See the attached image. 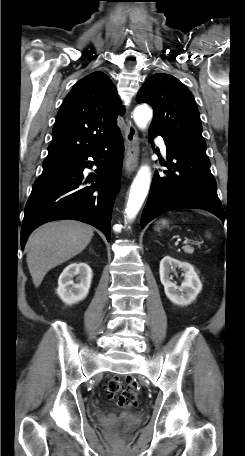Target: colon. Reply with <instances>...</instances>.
Instances as JSON below:
<instances>
[{
  "instance_id": "1",
  "label": "colon",
  "mask_w": 245,
  "mask_h": 456,
  "mask_svg": "<svg viewBox=\"0 0 245 456\" xmlns=\"http://www.w3.org/2000/svg\"><path fill=\"white\" fill-rule=\"evenodd\" d=\"M107 397L123 408H131L138 404L139 385L132 379L122 380L118 377H110L105 384Z\"/></svg>"
}]
</instances>
